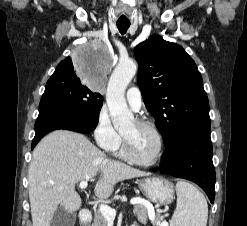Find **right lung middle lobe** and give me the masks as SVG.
Listing matches in <instances>:
<instances>
[{
    "label": "right lung middle lobe",
    "instance_id": "1",
    "mask_svg": "<svg viewBox=\"0 0 247 226\" xmlns=\"http://www.w3.org/2000/svg\"><path fill=\"white\" fill-rule=\"evenodd\" d=\"M80 79L77 78L76 70L72 69L71 59L70 65L55 70L46 84L41 101L54 100L99 120V112L103 104L102 96L94 89H86V86H82Z\"/></svg>",
    "mask_w": 247,
    "mask_h": 226
}]
</instances>
